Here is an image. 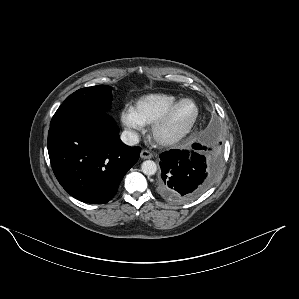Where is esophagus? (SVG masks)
<instances>
[{"mask_svg":"<svg viewBox=\"0 0 299 299\" xmlns=\"http://www.w3.org/2000/svg\"><path fill=\"white\" fill-rule=\"evenodd\" d=\"M140 157L142 159H150L153 157V154L148 150H142L140 153Z\"/></svg>","mask_w":299,"mask_h":299,"instance_id":"esophagus-1","label":"esophagus"}]
</instances>
